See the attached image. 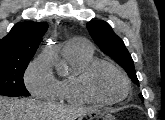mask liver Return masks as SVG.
Returning <instances> with one entry per match:
<instances>
[{"mask_svg": "<svg viewBox=\"0 0 165 120\" xmlns=\"http://www.w3.org/2000/svg\"><path fill=\"white\" fill-rule=\"evenodd\" d=\"M89 111L93 109L64 108L36 99H12L0 96V120H75Z\"/></svg>", "mask_w": 165, "mask_h": 120, "instance_id": "obj_1", "label": "liver"}]
</instances>
